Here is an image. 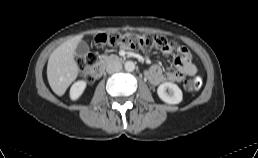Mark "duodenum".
<instances>
[{"label":"duodenum","instance_id":"1","mask_svg":"<svg viewBox=\"0 0 258 158\" xmlns=\"http://www.w3.org/2000/svg\"><path fill=\"white\" fill-rule=\"evenodd\" d=\"M124 60H125V58L123 56H112V57H109V58L99 62L98 64L94 65L90 69L89 75L91 76V78L97 79V78H99L103 74L105 68L108 65L116 64V63L122 62Z\"/></svg>","mask_w":258,"mask_h":158}]
</instances>
